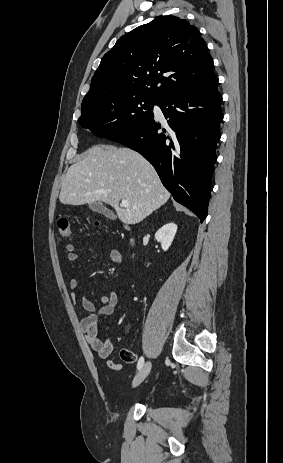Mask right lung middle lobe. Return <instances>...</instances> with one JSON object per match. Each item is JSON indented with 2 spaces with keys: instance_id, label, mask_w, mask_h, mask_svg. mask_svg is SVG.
Instances as JSON below:
<instances>
[{
  "instance_id": "obj_1",
  "label": "right lung middle lobe",
  "mask_w": 283,
  "mask_h": 463,
  "mask_svg": "<svg viewBox=\"0 0 283 463\" xmlns=\"http://www.w3.org/2000/svg\"><path fill=\"white\" fill-rule=\"evenodd\" d=\"M158 100L144 96L111 95L82 105L78 123L99 137L130 131L153 116Z\"/></svg>"
}]
</instances>
